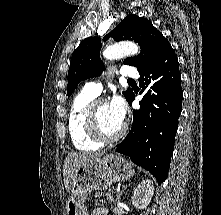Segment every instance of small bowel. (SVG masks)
<instances>
[{"label": "small bowel", "mask_w": 221, "mask_h": 215, "mask_svg": "<svg viewBox=\"0 0 221 215\" xmlns=\"http://www.w3.org/2000/svg\"><path fill=\"white\" fill-rule=\"evenodd\" d=\"M92 215H105V211L103 209H97Z\"/></svg>", "instance_id": "obj_1"}]
</instances>
